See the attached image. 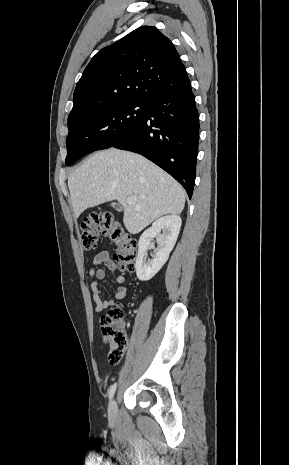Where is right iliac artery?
<instances>
[{"mask_svg":"<svg viewBox=\"0 0 289 465\" xmlns=\"http://www.w3.org/2000/svg\"><path fill=\"white\" fill-rule=\"evenodd\" d=\"M116 386H117L116 383H114L113 385L110 386L109 391H108L109 392V399H112V397H113V395L115 393V390H116Z\"/></svg>","mask_w":289,"mask_h":465,"instance_id":"82829eb1","label":"right iliac artery"}]
</instances>
